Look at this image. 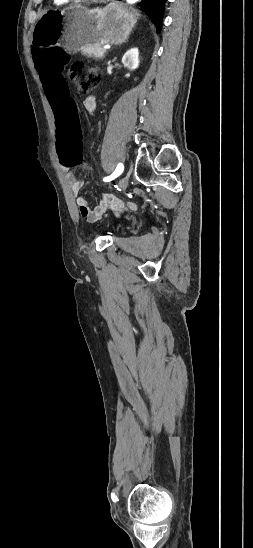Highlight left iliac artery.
<instances>
[{
    "label": "left iliac artery",
    "mask_w": 253,
    "mask_h": 548,
    "mask_svg": "<svg viewBox=\"0 0 253 548\" xmlns=\"http://www.w3.org/2000/svg\"><path fill=\"white\" fill-rule=\"evenodd\" d=\"M124 166L122 163H119L115 171L110 175L103 179V181L108 182L119 176L123 172Z\"/></svg>",
    "instance_id": "obj_1"
}]
</instances>
